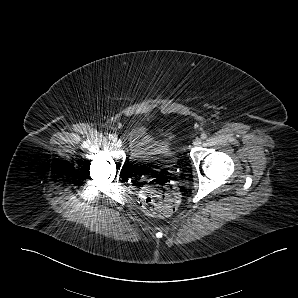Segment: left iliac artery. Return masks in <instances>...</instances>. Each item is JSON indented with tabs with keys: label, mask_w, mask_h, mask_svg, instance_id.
Instances as JSON below:
<instances>
[{
	"label": "left iliac artery",
	"mask_w": 298,
	"mask_h": 298,
	"mask_svg": "<svg viewBox=\"0 0 298 298\" xmlns=\"http://www.w3.org/2000/svg\"><path fill=\"white\" fill-rule=\"evenodd\" d=\"M201 138H202V139H206V138H207V134H206V133H202V134H201Z\"/></svg>",
	"instance_id": "obj_1"
}]
</instances>
